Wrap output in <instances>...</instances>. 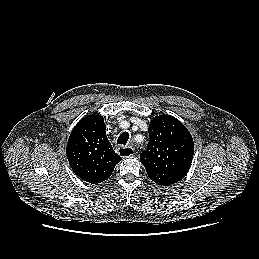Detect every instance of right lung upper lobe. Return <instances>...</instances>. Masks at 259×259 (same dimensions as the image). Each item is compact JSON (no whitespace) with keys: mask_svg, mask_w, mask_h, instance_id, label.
Here are the masks:
<instances>
[{"mask_svg":"<svg viewBox=\"0 0 259 259\" xmlns=\"http://www.w3.org/2000/svg\"><path fill=\"white\" fill-rule=\"evenodd\" d=\"M100 115H88L70 134L66 155L75 174L92 184L108 179L121 158L113 150Z\"/></svg>","mask_w":259,"mask_h":259,"instance_id":"obj_1","label":"right lung upper lobe"}]
</instances>
